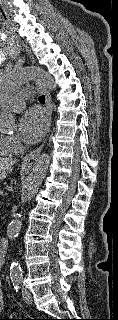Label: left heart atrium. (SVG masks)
I'll return each mask as SVG.
<instances>
[{
    "label": "left heart atrium",
    "mask_w": 118,
    "mask_h": 320,
    "mask_svg": "<svg viewBox=\"0 0 118 320\" xmlns=\"http://www.w3.org/2000/svg\"><path fill=\"white\" fill-rule=\"evenodd\" d=\"M48 127V117L39 108L26 111L19 121V131L24 142L33 144L38 142L45 134Z\"/></svg>",
    "instance_id": "left-heart-atrium-1"
}]
</instances>
